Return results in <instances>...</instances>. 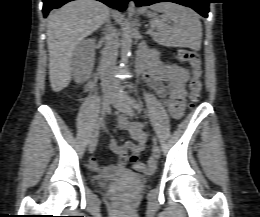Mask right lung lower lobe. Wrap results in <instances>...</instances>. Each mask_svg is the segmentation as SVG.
<instances>
[{
  "mask_svg": "<svg viewBox=\"0 0 260 217\" xmlns=\"http://www.w3.org/2000/svg\"><path fill=\"white\" fill-rule=\"evenodd\" d=\"M72 1V0H43V14L44 17H46L50 10L54 8H59L65 3ZM106 5H108L111 8L118 9L120 11H123L126 9V4L130 0H98Z\"/></svg>",
  "mask_w": 260,
  "mask_h": 217,
  "instance_id": "right-lung-lower-lobe-1",
  "label": "right lung lower lobe"
}]
</instances>
